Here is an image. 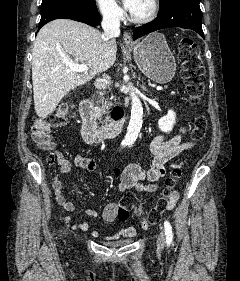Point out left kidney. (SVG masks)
<instances>
[{
  "mask_svg": "<svg viewBox=\"0 0 240 281\" xmlns=\"http://www.w3.org/2000/svg\"><path fill=\"white\" fill-rule=\"evenodd\" d=\"M176 123V114L173 110H169L168 114L158 121V127L162 132L169 133L172 131Z\"/></svg>",
  "mask_w": 240,
  "mask_h": 281,
  "instance_id": "left-kidney-1",
  "label": "left kidney"
}]
</instances>
